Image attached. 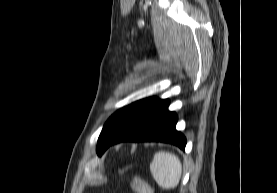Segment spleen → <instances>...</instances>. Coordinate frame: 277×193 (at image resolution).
<instances>
[{"instance_id": "3e777b00", "label": "spleen", "mask_w": 277, "mask_h": 193, "mask_svg": "<svg viewBox=\"0 0 277 193\" xmlns=\"http://www.w3.org/2000/svg\"><path fill=\"white\" fill-rule=\"evenodd\" d=\"M150 171L161 188L174 189L181 178L182 164L175 154L161 151L154 155L150 164Z\"/></svg>"}]
</instances>
